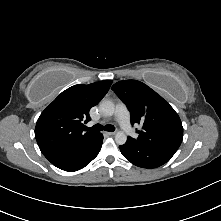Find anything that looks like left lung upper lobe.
Segmentation results:
<instances>
[{
    "mask_svg": "<svg viewBox=\"0 0 221 221\" xmlns=\"http://www.w3.org/2000/svg\"><path fill=\"white\" fill-rule=\"evenodd\" d=\"M112 90L127 105L131 123L142 125L137 139L129 140L150 147L177 151L183 139L181 120L171 105L146 84L137 80L115 83Z\"/></svg>",
    "mask_w": 221,
    "mask_h": 221,
    "instance_id": "obj_1",
    "label": "left lung upper lobe"
}]
</instances>
